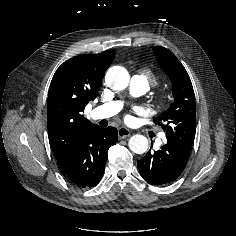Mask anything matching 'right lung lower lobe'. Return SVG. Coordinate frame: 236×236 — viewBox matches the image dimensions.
<instances>
[{
    "label": "right lung lower lobe",
    "mask_w": 236,
    "mask_h": 236,
    "mask_svg": "<svg viewBox=\"0 0 236 236\" xmlns=\"http://www.w3.org/2000/svg\"><path fill=\"white\" fill-rule=\"evenodd\" d=\"M118 140V131L109 126H93L83 136L72 160L62 168L67 179L79 188L98 184L104 172L109 147Z\"/></svg>",
    "instance_id": "1"
}]
</instances>
